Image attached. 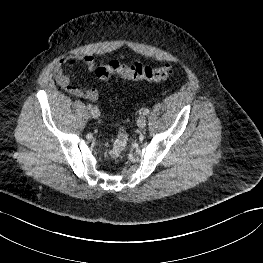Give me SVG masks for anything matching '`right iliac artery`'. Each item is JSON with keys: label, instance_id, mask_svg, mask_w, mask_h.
Returning a JSON list of instances; mask_svg holds the SVG:
<instances>
[{"label": "right iliac artery", "instance_id": "right-iliac-artery-1", "mask_svg": "<svg viewBox=\"0 0 263 263\" xmlns=\"http://www.w3.org/2000/svg\"><path fill=\"white\" fill-rule=\"evenodd\" d=\"M87 108H88L89 110H92V109H93V106H92L91 104H88V105H87Z\"/></svg>", "mask_w": 263, "mask_h": 263}]
</instances>
